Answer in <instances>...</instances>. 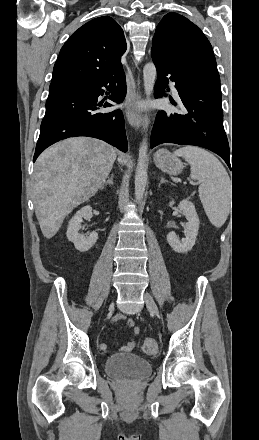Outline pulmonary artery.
I'll return each instance as SVG.
<instances>
[{
	"label": "pulmonary artery",
	"instance_id": "1",
	"mask_svg": "<svg viewBox=\"0 0 259 440\" xmlns=\"http://www.w3.org/2000/svg\"><path fill=\"white\" fill-rule=\"evenodd\" d=\"M170 85H171V88H172V91H173L174 96H175V97H178V91H177V89H176V87H175V83H174V82H171Z\"/></svg>",
	"mask_w": 259,
	"mask_h": 440
}]
</instances>
